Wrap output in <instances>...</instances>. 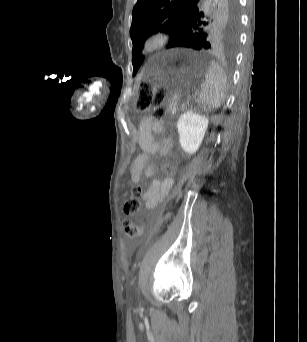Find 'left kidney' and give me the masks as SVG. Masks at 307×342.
I'll return each mask as SVG.
<instances>
[{
	"mask_svg": "<svg viewBox=\"0 0 307 342\" xmlns=\"http://www.w3.org/2000/svg\"><path fill=\"white\" fill-rule=\"evenodd\" d=\"M208 124L209 120L206 116L195 114L192 110L181 114L177 122V130L183 152H187V154L197 152L200 144H202Z\"/></svg>",
	"mask_w": 307,
	"mask_h": 342,
	"instance_id": "left-kidney-1",
	"label": "left kidney"
}]
</instances>
